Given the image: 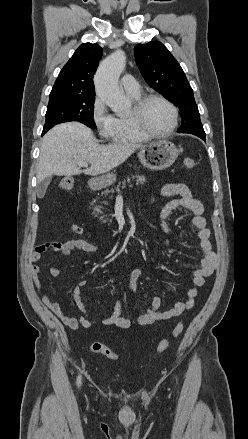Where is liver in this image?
<instances>
[{"label": "liver", "instance_id": "1", "mask_svg": "<svg viewBox=\"0 0 248 439\" xmlns=\"http://www.w3.org/2000/svg\"><path fill=\"white\" fill-rule=\"evenodd\" d=\"M140 147L130 142L100 145L87 126L78 122L62 123L49 130L42 139L37 181L52 175L104 174L125 162ZM79 162L91 166L82 171Z\"/></svg>", "mask_w": 248, "mask_h": 439}]
</instances>
